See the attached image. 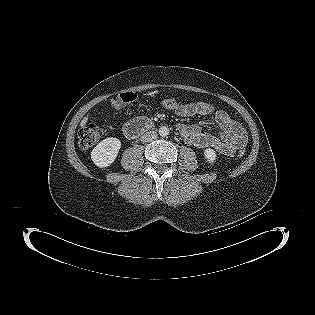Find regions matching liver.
<instances>
[{
    "instance_id": "obj_1",
    "label": "liver",
    "mask_w": 315,
    "mask_h": 315,
    "mask_svg": "<svg viewBox=\"0 0 315 315\" xmlns=\"http://www.w3.org/2000/svg\"><path fill=\"white\" fill-rule=\"evenodd\" d=\"M88 121V117H84L83 120L81 121L80 125L81 127L85 126V124L87 123Z\"/></svg>"
}]
</instances>
